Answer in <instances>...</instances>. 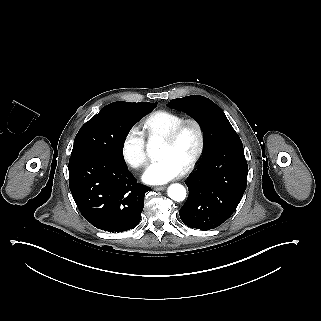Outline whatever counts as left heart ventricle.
I'll return each instance as SVG.
<instances>
[{
    "mask_svg": "<svg viewBox=\"0 0 321 321\" xmlns=\"http://www.w3.org/2000/svg\"><path fill=\"white\" fill-rule=\"evenodd\" d=\"M198 145V133L194 125H187L176 143L170 144L163 140V156L172 155L184 169Z\"/></svg>",
    "mask_w": 321,
    "mask_h": 321,
    "instance_id": "1",
    "label": "left heart ventricle"
}]
</instances>
